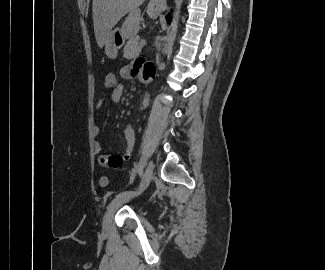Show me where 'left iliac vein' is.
<instances>
[{
  "label": "left iliac vein",
  "mask_w": 325,
  "mask_h": 270,
  "mask_svg": "<svg viewBox=\"0 0 325 270\" xmlns=\"http://www.w3.org/2000/svg\"><path fill=\"white\" fill-rule=\"evenodd\" d=\"M153 168H154V166H153L152 161L148 162L145 172H144V175L142 177V180H141L139 186L136 188V190L130 195H123V196H120V197L114 199L112 201V203L109 205V207L105 213L104 219H103L102 228H103L104 234H109V232L111 230L112 221H113L116 211L123 204H125L128 201L141 195L145 191V189L148 187V185L151 181V178H152Z\"/></svg>",
  "instance_id": "4c4485c4"
}]
</instances>
